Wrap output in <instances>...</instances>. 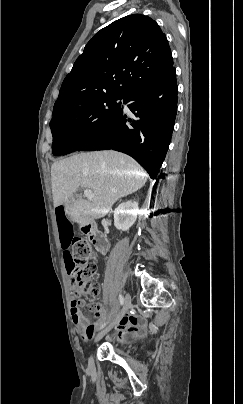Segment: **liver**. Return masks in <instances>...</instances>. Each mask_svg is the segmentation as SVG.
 Instances as JSON below:
<instances>
[{
    "mask_svg": "<svg viewBox=\"0 0 243 404\" xmlns=\"http://www.w3.org/2000/svg\"><path fill=\"white\" fill-rule=\"evenodd\" d=\"M52 194L55 208L66 204L72 222L88 226L103 218L113 204L137 192L147 182L139 164L120 152H87L76 154L51 166ZM87 188L94 198L75 200L78 188Z\"/></svg>",
    "mask_w": 243,
    "mask_h": 404,
    "instance_id": "liver-1",
    "label": "liver"
}]
</instances>
